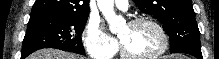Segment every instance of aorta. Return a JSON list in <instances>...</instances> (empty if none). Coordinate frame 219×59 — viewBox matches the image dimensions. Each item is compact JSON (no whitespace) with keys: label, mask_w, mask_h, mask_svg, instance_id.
Wrapping results in <instances>:
<instances>
[{"label":"aorta","mask_w":219,"mask_h":59,"mask_svg":"<svg viewBox=\"0 0 219 59\" xmlns=\"http://www.w3.org/2000/svg\"><path fill=\"white\" fill-rule=\"evenodd\" d=\"M97 5L108 22L110 31L115 32L119 18L114 13V0H97Z\"/></svg>","instance_id":"obj_1"}]
</instances>
